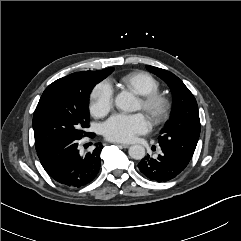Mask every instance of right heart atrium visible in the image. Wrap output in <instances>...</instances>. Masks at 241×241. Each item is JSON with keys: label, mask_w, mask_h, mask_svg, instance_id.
Listing matches in <instances>:
<instances>
[{"label": "right heart atrium", "mask_w": 241, "mask_h": 241, "mask_svg": "<svg viewBox=\"0 0 241 241\" xmlns=\"http://www.w3.org/2000/svg\"><path fill=\"white\" fill-rule=\"evenodd\" d=\"M113 89L107 81L97 84L90 95V111L96 117L105 116L113 107Z\"/></svg>", "instance_id": "obj_1"}]
</instances>
